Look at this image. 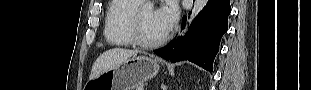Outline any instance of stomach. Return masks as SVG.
Masks as SVG:
<instances>
[{
	"mask_svg": "<svg viewBox=\"0 0 311 90\" xmlns=\"http://www.w3.org/2000/svg\"><path fill=\"white\" fill-rule=\"evenodd\" d=\"M158 59L153 56H133L116 68L89 80L85 90H135L159 72Z\"/></svg>",
	"mask_w": 311,
	"mask_h": 90,
	"instance_id": "0dacf381",
	"label": "stomach"
}]
</instances>
